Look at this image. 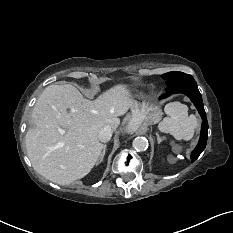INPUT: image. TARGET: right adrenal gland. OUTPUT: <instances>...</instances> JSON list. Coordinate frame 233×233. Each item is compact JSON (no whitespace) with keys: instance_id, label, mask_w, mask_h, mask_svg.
Returning <instances> with one entry per match:
<instances>
[{"instance_id":"right-adrenal-gland-1","label":"right adrenal gland","mask_w":233,"mask_h":233,"mask_svg":"<svg viewBox=\"0 0 233 233\" xmlns=\"http://www.w3.org/2000/svg\"><path fill=\"white\" fill-rule=\"evenodd\" d=\"M106 148H107V145H104L103 151H102V153H101V155H100V157H99V159L97 161V164H99L100 162L103 161V158H104L105 153H106Z\"/></svg>"}]
</instances>
